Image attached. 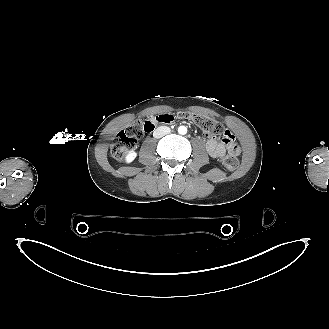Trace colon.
I'll return each instance as SVG.
<instances>
[{
    "label": "colon",
    "mask_w": 329,
    "mask_h": 329,
    "mask_svg": "<svg viewBox=\"0 0 329 329\" xmlns=\"http://www.w3.org/2000/svg\"><path fill=\"white\" fill-rule=\"evenodd\" d=\"M179 117L193 120L208 136H222L225 144L230 147L236 146L234 145V137L232 134L217 120L197 114H180ZM155 122V119H150L145 122L135 121L127 128L121 130L116 135L111 145V156L115 160L121 161L127 153L135 147L137 140L141 138L145 132H149L153 129ZM238 164L239 161L235 155H228L223 159V165L229 171H234L238 167Z\"/></svg>",
    "instance_id": "obj_1"
}]
</instances>
